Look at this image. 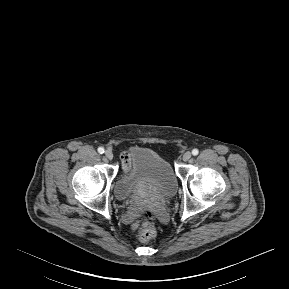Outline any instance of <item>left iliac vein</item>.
<instances>
[{"mask_svg":"<svg viewBox=\"0 0 289 289\" xmlns=\"http://www.w3.org/2000/svg\"><path fill=\"white\" fill-rule=\"evenodd\" d=\"M192 154L191 152L187 151L183 154L182 159L183 161H188L191 158Z\"/></svg>","mask_w":289,"mask_h":289,"instance_id":"left-iliac-vein-1","label":"left iliac vein"}]
</instances>
